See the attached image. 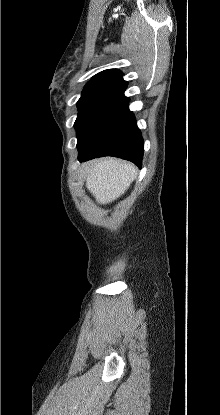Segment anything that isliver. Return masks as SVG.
<instances>
[{
	"instance_id": "1",
	"label": "liver",
	"mask_w": 220,
	"mask_h": 415,
	"mask_svg": "<svg viewBox=\"0 0 220 415\" xmlns=\"http://www.w3.org/2000/svg\"><path fill=\"white\" fill-rule=\"evenodd\" d=\"M137 168L115 158L91 161L84 165L86 187L99 204H108L129 188L137 177Z\"/></svg>"
}]
</instances>
